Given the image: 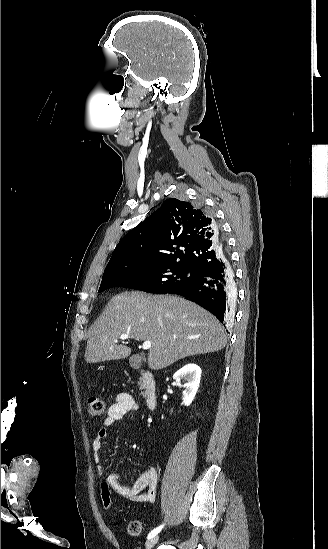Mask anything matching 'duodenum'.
<instances>
[{"label":"duodenum","instance_id":"duodenum-1","mask_svg":"<svg viewBox=\"0 0 328 549\" xmlns=\"http://www.w3.org/2000/svg\"><path fill=\"white\" fill-rule=\"evenodd\" d=\"M138 373L143 383L147 407L150 410H154L157 406L156 383L154 376L151 372L142 369H139Z\"/></svg>","mask_w":328,"mask_h":549}]
</instances>
